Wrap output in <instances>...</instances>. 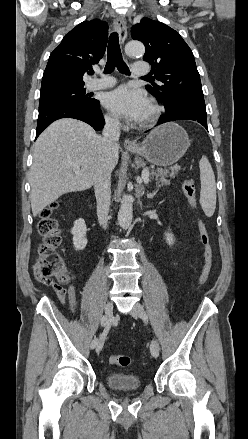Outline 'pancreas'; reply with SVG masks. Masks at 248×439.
Listing matches in <instances>:
<instances>
[{"label":"pancreas","mask_w":248,"mask_h":439,"mask_svg":"<svg viewBox=\"0 0 248 439\" xmlns=\"http://www.w3.org/2000/svg\"><path fill=\"white\" fill-rule=\"evenodd\" d=\"M179 170H180V166L177 165L169 169L158 168L156 170H153L150 175L152 179H155L158 186H164L170 184V180H167L166 177L167 176L175 177V175L178 173Z\"/></svg>","instance_id":"obj_1"}]
</instances>
